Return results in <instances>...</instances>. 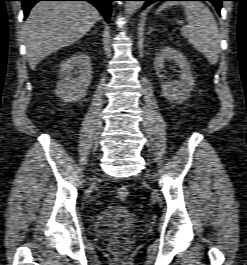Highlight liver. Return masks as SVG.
<instances>
[{"label":"liver","mask_w":247,"mask_h":265,"mask_svg":"<svg viewBox=\"0 0 247 265\" xmlns=\"http://www.w3.org/2000/svg\"><path fill=\"white\" fill-rule=\"evenodd\" d=\"M101 19L98 10L82 1H43L23 26L26 53L32 70L45 57L86 35Z\"/></svg>","instance_id":"liver-1"}]
</instances>
